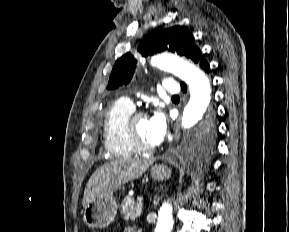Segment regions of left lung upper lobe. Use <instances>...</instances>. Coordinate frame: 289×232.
Here are the masks:
<instances>
[{
  "mask_svg": "<svg viewBox=\"0 0 289 232\" xmlns=\"http://www.w3.org/2000/svg\"><path fill=\"white\" fill-rule=\"evenodd\" d=\"M176 52L199 63L202 57L200 49L194 43V37L183 26H174L169 29L158 30L148 34L138 46L142 56L147 57L161 51ZM137 60L130 53L121 56L112 69L107 89L112 90L120 85L128 84L135 72ZM214 131L212 117L201 128V143L209 146Z\"/></svg>",
  "mask_w": 289,
  "mask_h": 232,
  "instance_id": "5c2ea615",
  "label": "left lung upper lobe"
}]
</instances>
